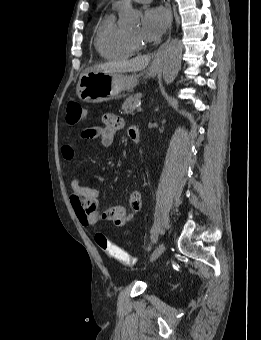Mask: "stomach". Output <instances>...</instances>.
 <instances>
[{"label": "stomach", "mask_w": 261, "mask_h": 340, "mask_svg": "<svg viewBox=\"0 0 261 340\" xmlns=\"http://www.w3.org/2000/svg\"><path fill=\"white\" fill-rule=\"evenodd\" d=\"M161 63L153 61L145 78L155 77ZM141 75H126L116 72L87 71L81 74L77 84L78 97L88 103H98L119 97L121 92L132 91Z\"/></svg>", "instance_id": "0dacf381"}]
</instances>
